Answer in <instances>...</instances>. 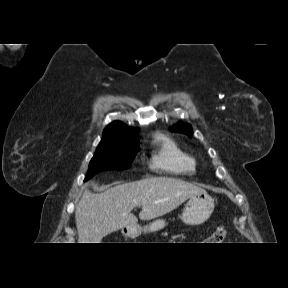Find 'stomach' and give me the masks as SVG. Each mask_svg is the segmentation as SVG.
I'll return each instance as SVG.
<instances>
[{"instance_id": "0dacf381", "label": "stomach", "mask_w": 288, "mask_h": 288, "mask_svg": "<svg viewBox=\"0 0 288 288\" xmlns=\"http://www.w3.org/2000/svg\"><path fill=\"white\" fill-rule=\"evenodd\" d=\"M214 199L206 192L202 191L191 196L184 208L181 219L187 225H200L204 223L214 210ZM166 226L164 220H156L145 227H135L123 230V234L128 237H137L142 233L154 232Z\"/></svg>"}]
</instances>
